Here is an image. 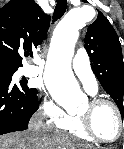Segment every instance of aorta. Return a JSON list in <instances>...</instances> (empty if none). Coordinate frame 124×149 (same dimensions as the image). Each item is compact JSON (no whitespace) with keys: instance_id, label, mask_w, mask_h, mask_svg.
Instances as JSON below:
<instances>
[{"instance_id":"aorta-1","label":"aorta","mask_w":124,"mask_h":149,"mask_svg":"<svg viewBox=\"0 0 124 149\" xmlns=\"http://www.w3.org/2000/svg\"><path fill=\"white\" fill-rule=\"evenodd\" d=\"M87 22L82 9L70 10L57 25L50 49V61L45 70V84L57 101H70L77 106L82 93L71 69L74 46L79 29Z\"/></svg>"}]
</instances>
